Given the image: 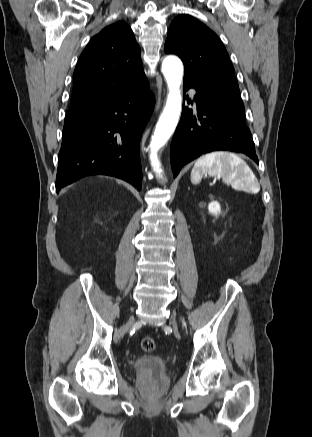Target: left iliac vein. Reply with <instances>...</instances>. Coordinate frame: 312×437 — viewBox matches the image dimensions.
Listing matches in <instances>:
<instances>
[{"label": "left iliac vein", "instance_id": "left-iliac-vein-1", "mask_svg": "<svg viewBox=\"0 0 312 437\" xmlns=\"http://www.w3.org/2000/svg\"><path fill=\"white\" fill-rule=\"evenodd\" d=\"M171 324H172V326L174 328V332L178 333V328H177V324H176V320H175V315H172V317H171Z\"/></svg>", "mask_w": 312, "mask_h": 437}]
</instances>
